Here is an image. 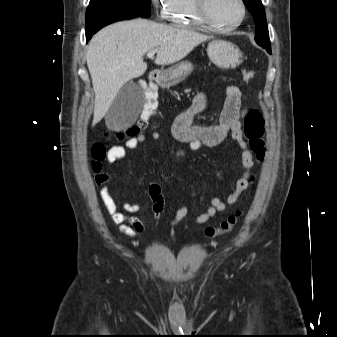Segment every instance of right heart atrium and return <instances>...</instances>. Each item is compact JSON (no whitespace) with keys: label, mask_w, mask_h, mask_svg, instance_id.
<instances>
[{"label":"right heart atrium","mask_w":337,"mask_h":337,"mask_svg":"<svg viewBox=\"0 0 337 337\" xmlns=\"http://www.w3.org/2000/svg\"><path fill=\"white\" fill-rule=\"evenodd\" d=\"M151 3L156 8L158 16L164 19L169 15L173 0H151Z\"/></svg>","instance_id":"d8ad5b80"}]
</instances>
